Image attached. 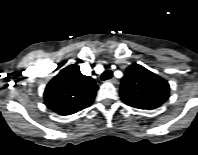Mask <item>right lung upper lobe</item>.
Returning a JSON list of instances; mask_svg holds the SVG:
<instances>
[{
    "label": "right lung upper lobe",
    "mask_w": 198,
    "mask_h": 155,
    "mask_svg": "<svg viewBox=\"0 0 198 155\" xmlns=\"http://www.w3.org/2000/svg\"><path fill=\"white\" fill-rule=\"evenodd\" d=\"M97 90L92 77L83 75L77 64L69 65L46 86L45 105L60 115H70L90 106Z\"/></svg>",
    "instance_id": "right-lung-upper-lobe-1"
}]
</instances>
